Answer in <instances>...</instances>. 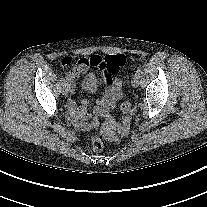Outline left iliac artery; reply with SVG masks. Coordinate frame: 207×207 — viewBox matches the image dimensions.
<instances>
[{
    "label": "left iliac artery",
    "instance_id": "1",
    "mask_svg": "<svg viewBox=\"0 0 207 207\" xmlns=\"http://www.w3.org/2000/svg\"><path fill=\"white\" fill-rule=\"evenodd\" d=\"M135 75H138L139 77H141V75H142V70L141 69H138L137 71H136V74Z\"/></svg>",
    "mask_w": 207,
    "mask_h": 207
}]
</instances>
